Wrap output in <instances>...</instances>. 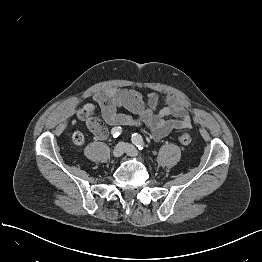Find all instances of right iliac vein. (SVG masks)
I'll return each instance as SVG.
<instances>
[{"label":"right iliac vein","instance_id":"63e3f726","mask_svg":"<svg viewBox=\"0 0 262 262\" xmlns=\"http://www.w3.org/2000/svg\"><path fill=\"white\" fill-rule=\"evenodd\" d=\"M125 151V146L122 142L118 143L113 149L112 155L114 158H120Z\"/></svg>","mask_w":262,"mask_h":262}]
</instances>
